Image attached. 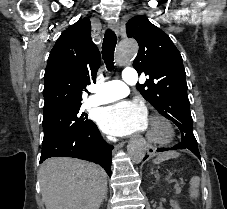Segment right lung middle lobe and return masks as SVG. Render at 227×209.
<instances>
[{
	"label": "right lung middle lobe",
	"instance_id": "dd1d6c3e",
	"mask_svg": "<svg viewBox=\"0 0 227 209\" xmlns=\"http://www.w3.org/2000/svg\"><path fill=\"white\" fill-rule=\"evenodd\" d=\"M82 100L51 99L44 104L43 142L87 128L93 122L80 111Z\"/></svg>",
	"mask_w": 227,
	"mask_h": 209
}]
</instances>
